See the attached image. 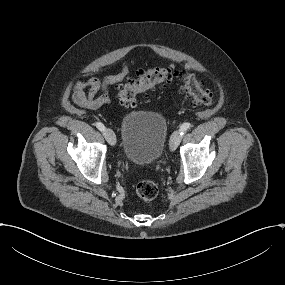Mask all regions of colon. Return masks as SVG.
<instances>
[{"instance_id":"1","label":"colon","mask_w":285,"mask_h":285,"mask_svg":"<svg viewBox=\"0 0 285 285\" xmlns=\"http://www.w3.org/2000/svg\"><path fill=\"white\" fill-rule=\"evenodd\" d=\"M173 80L182 83L191 103L200 106L213 104L214 95L205 90L193 74L171 67H155L138 71L135 77L128 78L117 86V97L123 106L132 107L150 91L166 86ZM136 194L143 201H151L157 196L158 188L152 181L143 180L137 184Z\"/></svg>"}]
</instances>
